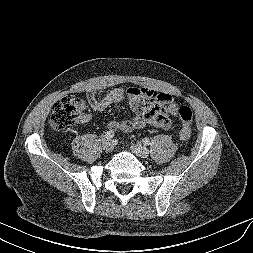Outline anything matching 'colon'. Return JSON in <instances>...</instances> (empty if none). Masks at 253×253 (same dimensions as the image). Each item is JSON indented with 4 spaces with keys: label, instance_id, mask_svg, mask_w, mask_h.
<instances>
[{
    "label": "colon",
    "instance_id": "obj_1",
    "mask_svg": "<svg viewBox=\"0 0 253 253\" xmlns=\"http://www.w3.org/2000/svg\"><path fill=\"white\" fill-rule=\"evenodd\" d=\"M85 106L84 99L77 96H64L60 98L53 106L49 119L50 126L56 131L67 130L81 119ZM179 119L182 124L180 138L186 141L191 136V110L188 107H181Z\"/></svg>",
    "mask_w": 253,
    "mask_h": 253
}]
</instances>
